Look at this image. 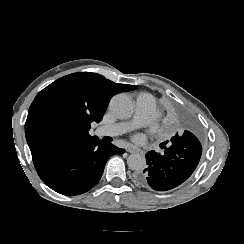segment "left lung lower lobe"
Here are the masks:
<instances>
[{
  "instance_id": "1",
  "label": "left lung lower lobe",
  "mask_w": 244,
  "mask_h": 244,
  "mask_svg": "<svg viewBox=\"0 0 244 244\" xmlns=\"http://www.w3.org/2000/svg\"><path fill=\"white\" fill-rule=\"evenodd\" d=\"M198 132L194 122L186 119L183 130L176 133L170 140L160 146L164 153L154 150L146 154L148 167L136 175L140 185L149 186L157 191L173 189L186 181L196 169L201 154L202 146L197 138Z\"/></svg>"
}]
</instances>
